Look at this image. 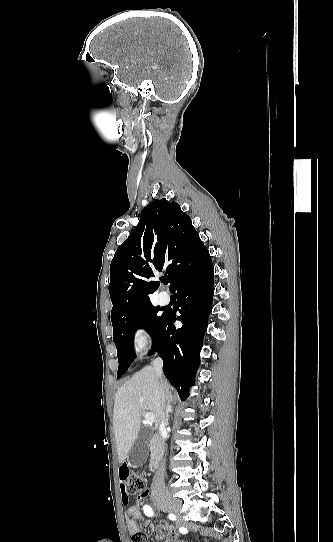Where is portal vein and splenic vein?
Masks as SVG:
<instances>
[{
	"instance_id": "portal-vein-and-splenic-vein-1",
	"label": "portal vein and splenic vein",
	"mask_w": 333,
	"mask_h": 542,
	"mask_svg": "<svg viewBox=\"0 0 333 542\" xmlns=\"http://www.w3.org/2000/svg\"><path fill=\"white\" fill-rule=\"evenodd\" d=\"M144 416L147 424H153V422H155V416L152 412H145Z\"/></svg>"
}]
</instances>
